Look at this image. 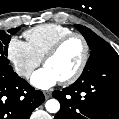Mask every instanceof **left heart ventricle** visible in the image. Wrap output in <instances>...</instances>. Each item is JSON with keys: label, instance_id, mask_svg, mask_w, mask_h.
I'll use <instances>...</instances> for the list:
<instances>
[{"label": "left heart ventricle", "instance_id": "b2bd125f", "mask_svg": "<svg viewBox=\"0 0 119 119\" xmlns=\"http://www.w3.org/2000/svg\"><path fill=\"white\" fill-rule=\"evenodd\" d=\"M83 54V44L75 38L67 42L56 56L46 62L45 66L50 68L59 80H62L78 68Z\"/></svg>", "mask_w": 119, "mask_h": 119}]
</instances>
